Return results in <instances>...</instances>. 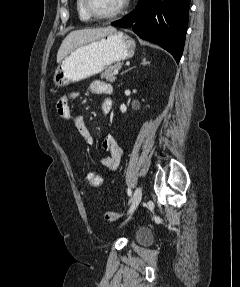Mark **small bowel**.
Segmentation results:
<instances>
[{
  "label": "small bowel",
  "instance_id": "small-bowel-1",
  "mask_svg": "<svg viewBox=\"0 0 240 287\" xmlns=\"http://www.w3.org/2000/svg\"><path fill=\"white\" fill-rule=\"evenodd\" d=\"M90 89L93 93L104 96V99L100 105V110L103 113L109 112L111 108V94L112 86L101 80H96L91 83ZM77 97L76 92H71L67 95L61 96L56 103V110L58 114L65 120H72L78 133L82 139L88 144H93L92 134L87 127L85 120L82 115H73V111L70 107V101ZM103 152H108L109 154L102 157L100 164L111 171L117 170L119 167L123 151L119 144L115 141L113 136L107 135L101 143L100 146Z\"/></svg>",
  "mask_w": 240,
  "mask_h": 287
}]
</instances>
